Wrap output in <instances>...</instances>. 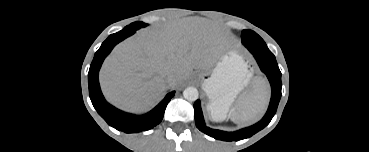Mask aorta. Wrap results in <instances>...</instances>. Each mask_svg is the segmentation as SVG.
I'll return each instance as SVG.
<instances>
[{"label":"aorta","instance_id":"762f6f07","mask_svg":"<svg viewBox=\"0 0 369 152\" xmlns=\"http://www.w3.org/2000/svg\"><path fill=\"white\" fill-rule=\"evenodd\" d=\"M199 93L195 87H188L183 91V97L188 101H196Z\"/></svg>","mask_w":369,"mask_h":152}]
</instances>
